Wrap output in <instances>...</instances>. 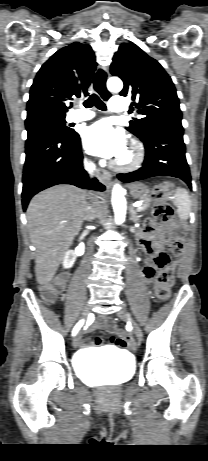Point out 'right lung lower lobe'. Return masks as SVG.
Returning <instances> with one entry per match:
<instances>
[{"instance_id":"obj_1","label":"right lung lower lobe","mask_w":208,"mask_h":461,"mask_svg":"<svg viewBox=\"0 0 208 461\" xmlns=\"http://www.w3.org/2000/svg\"><path fill=\"white\" fill-rule=\"evenodd\" d=\"M23 170L22 205H27L36 193L57 184H72L80 188L104 191L96 178L89 180L83 168L81 141L78 133L43 132L26 141Z\"/></svg>"}]
</instances>
